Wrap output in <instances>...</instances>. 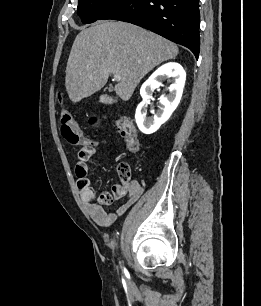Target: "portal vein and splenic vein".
I'll use <instances>...</instances> for the list:
<instances>
[{
    "label": "portal vein and splenic vein",
    "mask_w": 261,
    "mask_h": 306,
    "mask_svg": "<svg viewBox=\"0 0 261 306\" xmlns=\"http://www.w3.org/2000/svg\"><path fill=\"white\" fill-rule=\"evenodd\" d=\"M114 80L115 81H120L121 80V76L119 74H114Z\"/></svg>",
    "instance_id": "1"
}]
</instances>
